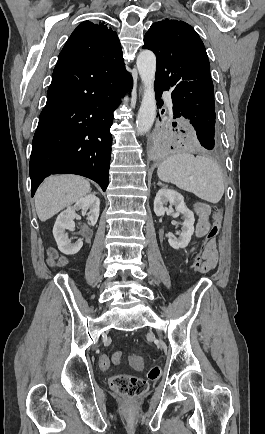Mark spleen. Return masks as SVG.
<instances>
[{"label": "spleen", "mask_w": 265, "mask_h": 434, "mask_svg": "<svg viewBox=\"0 0 265 434\" xmlns=\"http://www.w3.org/2000/svg\"><path fill=\"white\" fill-rule=\"evenodd\" d=\"M157 176L162 182H171L180 190L192 192L201 200L218 204L224 194L222 172L215 160L207 156L173 154L159 164Z\"/></svg>", "instance_id": "3e777b00"}]
</instances>
